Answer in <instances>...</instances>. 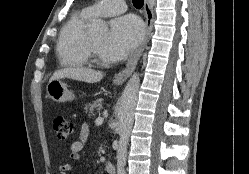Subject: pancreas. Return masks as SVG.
I'll use <instances>...</instances> for the list:
<instances>
[{"label":"pancreas","mask_w":249,"mask_h":174,"mask_svg":"<svg viewBox=\"0 0 249 174\" xmlns=\"http://www.w3.org/2000/svg\"><path fill=\"white\" fill-rule=\"evenodd\" d=\"M102 109H103V100L102 99H97L93 103H89L85 106V110L89 111L88 116H94L95 110H97V112L99 114H101Z\"/></svg>","instance_id":"1"}]
</instances>
